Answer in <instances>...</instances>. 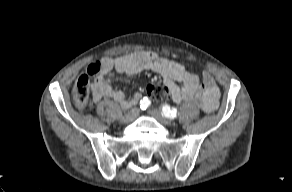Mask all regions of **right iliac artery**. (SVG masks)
<instances>
[{"label":"right iliac artery","instance_id":"82829eb1","mask_svg":"<svg viewBox=\"0 0 292 192\" xmlns=\"http://www.w3.org/2000/svg\"><path fill=\"white\" fill-rule=\"evenodd\" d=\"M150 105V101L147 98H143L140 101V107L141 109H146Z\"/></svg>","mask_w":292,"mask_h":192}]
</instances>
